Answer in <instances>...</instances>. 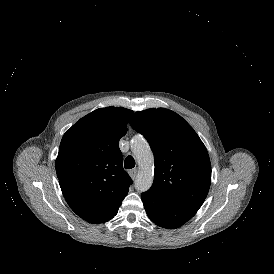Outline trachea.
I'll return each mask as SVG.
<instances>
[{
  "label": "trachea",
  "instance_id": "trachea-1",
  "mask_svg": "<svg viewBox=\"0 0 274 274\" xmlns=\"http://www.w3.org/2000/svg\"><path fill=\"white\" fill-rule=\"evenodd\" d=\"M124 167L125 169H132L133 167H135V160L132 156L126 157L124 161Z\"/></svg>",
  "mask_w": 274,
  "mask_h": 274
}]
</instances>
